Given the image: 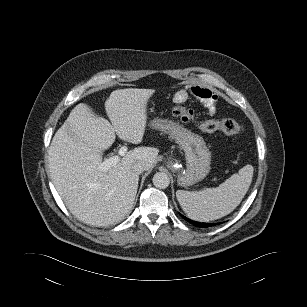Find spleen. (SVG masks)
<instances>
[{
    "instance_id": "1",
    "label": "spleen",
    "mask_w": 307,
    "mask_h": 307,
    "mask_svg": "<svg viewBox=\"0 0 307 307\" xmlns=\"http://www.w3.org/2000/svg\"><path fill=\"white\" fill-rule=\"evenodd\" d=\"M253 171V166L247 164L216 188L195 192L178 190L177 200L194 220L206 222L222 218L241 203L251 184Z\"/></svg>"
}]
</instances>
